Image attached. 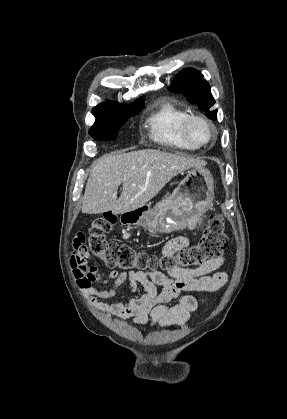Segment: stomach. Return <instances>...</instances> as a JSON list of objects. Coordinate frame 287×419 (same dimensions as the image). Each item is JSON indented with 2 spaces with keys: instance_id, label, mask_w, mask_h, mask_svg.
<instances>
[{
  "instance_id": "stomach-1",
  "label": "stomach",
  "mask_w": 287,
  "mask_h": 419,
  "mask_svg": "<svg viewBox=\"0 0 287 419\" xmlns=\"http://www.w3.org/2000/svg\"><path fill=\"white\" fill-rule=\"evenodd\" d=\"M214 199V180L211 172L193 168L173 193L153 208L144 205L120 214V222L144 230L171 233L195 224L209 209Z\"/></svg>"
}]
</instances>
